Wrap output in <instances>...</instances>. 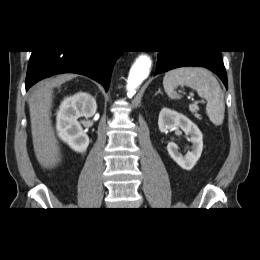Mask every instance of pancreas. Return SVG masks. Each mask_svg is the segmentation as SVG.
Instances as JSON below:
<instances>
[{
  "mask_svg": "<svg viewBox=\"0 0 260 260\" xmlns=\"http://www.w3.org/2000/svg\"><path fill=\"white\" fill-rule=\"evenodd\" d=\"M189 110L194 114V116L197 119H201V115H199L197 112L199 110V107L196 104L189 105Z\"/></svg>",
  "mask_w": 260,
  "mask_h": 260,
  "instance_id": "pancreas-1",
  "label": "pancreas"
}]
</instances>
